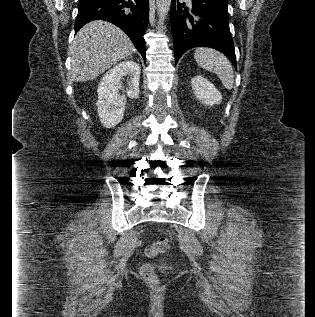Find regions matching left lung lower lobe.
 I'll return each instance as SVG.
<instances>
[{
  "label": "left lung lower lobe",
  "mask_w": 315,
  "mask_h": 317,
  "mask_svg": "<svg viewBox=\"0 0 315 317\" xmlns=\"http://www.w3.org/2000/svg\"><path fill=\"white\" fill-rule=\"evenodd\" d=\"M227 3L228 0H192V5L186 6L172 0L170 20L176 64L187 50L204 46L226 55L236 68Z\"/></svg>",
  "instance_id": "obj_1"
}]
</instances>
